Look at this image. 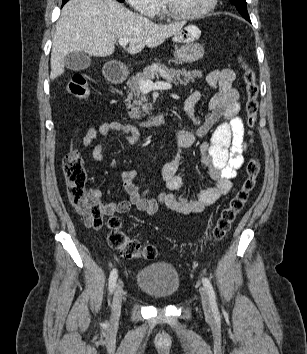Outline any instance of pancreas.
Instances as JSON below:
<instances>
[{"label": "pancreas", "instance_id": "cf45deb5", "mask_svg": "<svg viewBox=\"0 0 307 354\" xmlns=\"http://www.w3.org/2000/svg\"><path fill=\"white\" fill-rule=\"evenodd\" d=\"M159 75L166 79L167 82H172L175 85H187L190 81H194L195 78L203 76L200 70L174 69L159 63L145 67L143 72L137 73L127 81L130 91L126 99V107L131 109L129 112L131 119L139 120L148 114L151 109V105L147 103V98L140 89V81L158 78Z\"/></svg>", "mask_w": 307, "mask_h": 354}]
</instances>
